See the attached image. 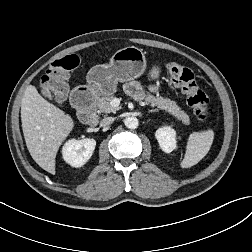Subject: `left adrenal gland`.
<instances>
[{"label": "left adrenal gland", "instance_id": "obj_1", "mask_svg": "<svg viewBox=\"0 0 252 252\" xmlns=\"http://www.w3.org/2000/svg\"><path fill=\"white\" fill-rule=\"evenodd\" d=\"M155 112H157L156 109H153V110L148 111V113H155Z\"/></svg>", "mask_w": 252, "mask_h": 252}]
</instances>
